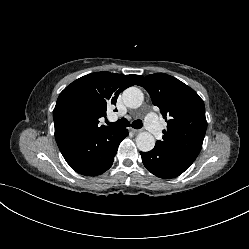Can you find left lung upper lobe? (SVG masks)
I'll use <instances>...</instances> for the list:
<instances>
[{
    "label": "left lung upper lobe",
    "mask_w": 249,
    "mask_h": 249,
    "mask_svg": "<svg viewBox=\"0 0 249 249\" xmlns=\"http://www.w3.org/2000/svg\"><path fill=\"white\" fill-rule=\"evenodd\" d=\"M138 85L147 90L152 103L159 107L168 122L163 139L155 146L198 155L207 128L204 102L198 94L165 73L148 75Z\"/></svg>",
    "instance_id": "obj_1"
}]
</instances>
